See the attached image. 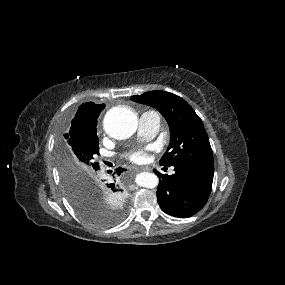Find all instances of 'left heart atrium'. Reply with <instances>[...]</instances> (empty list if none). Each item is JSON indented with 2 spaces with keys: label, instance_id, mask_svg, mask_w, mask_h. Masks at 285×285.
I'll return each mask as SVG.
<instances>
[{
  "label": "left heart atrium",
  "instance_id": "39dd6f15",
  "mask_svg": "<svg viewBox=\"0 0 285 285\" xmlns=\"http://www.w3.org/2000/svg\"><path fill=\"white\" fill-rule=\"evenodd\" d=\"M126 157L134 163H143L148 158L147 150L146 149L131 150L126 154Z\"/></svg>",
  "mask_w": 285,
  "mask_h": 285
}]
</instances>
